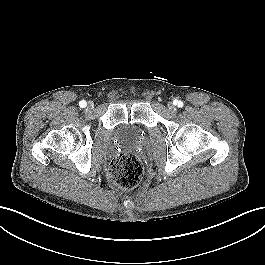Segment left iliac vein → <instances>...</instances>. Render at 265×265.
I'll return each instance as SVG.
<instances>
[{"label": "left iliac vein", "instance_id": "4c4485c4", "mask_svg": "<svg viewBox=\"0 0 265 265\" xmlns=\"http://www.w3.org/2000/svg\"><path fill=\"white\" fill-rule=\"evenodd\" d=\"M169 108H170L171 110H175V107H174L173 104H169Z\"/></svg>", "mask_w": 265, "mask_h": 265}]
</instances>
